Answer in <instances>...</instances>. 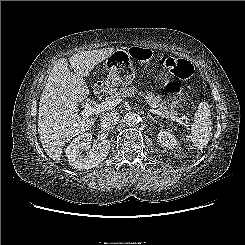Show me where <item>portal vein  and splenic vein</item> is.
<instances>
[{
    "mask_svg": "<svg viewBox=\"0 0 245 245\" xmlns=\"http://www.w3.org/2000/svg\"><path fill=\"white\" fill-rule=\"evenodd\" d=\"M120 102H122V99H116V100H105L101 102L100 104H97L95 106H92L90 104H86L85 108L81 111V115L83 117H89L90 115H95L104 111L112 110L115 108ZM150 112L159 116H164L160 111L155 109H150ZM172 121H176L181 125L186 126V123L183 121L180 117L175 116H168Z\"/></svg>",
    "mask_w": 245,
    "mask_h": 245,
    "instance_id": "obj_1",
    "label": "portal vein and splenic vein"
}]
</instances>
